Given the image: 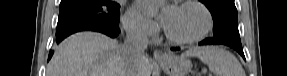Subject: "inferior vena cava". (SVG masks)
Returning <instances> with one entry per match:
<instances>
[{
    "label": "inferior vena cava",
    "mask_w": 287,
    "mask_h": 76,
    "mask_svg": "<svg viewBox=\"0 0 287 76\" xmlns=\"http://www.w3.org/2000/svg\"><path fill=\"white\" fill-rule=\"evenodd\" d=\"M126 38L122 45V55L126 65L125 76H137L136 67L146 59L144 51L148 46V37L145 25L132 20L124 25Z\"/></svg>",
    "instance_id": "obj_1"
}]
</instances>
